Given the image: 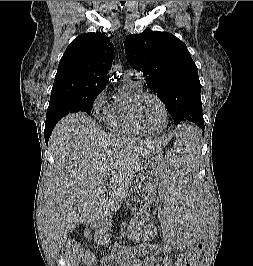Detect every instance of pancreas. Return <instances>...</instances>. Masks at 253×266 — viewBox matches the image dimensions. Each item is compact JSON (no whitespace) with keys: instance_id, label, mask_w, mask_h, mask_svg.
I'll use <instances>...</instances> for the list:
<instances>
[{"instance_id":"pancreas-1","label":"pancreas","mask_w":253,"mask_h":266,"mask_svg":"<svg viewBox=\"0 0 253 266\" xmlns=\"http://www.w3.org/2000/svg\"><path fill=\"white\" fill-rule=\"evenodd\" d=\"M138 190H140V186L138 187V188H136V191L138 192ZM136 200V199H135ZM146 235V233H145V231H144V234H143V236H145ZM144 240H147L146 239V237H144Z\"/></svg>"}]
</instances>
